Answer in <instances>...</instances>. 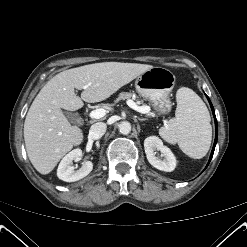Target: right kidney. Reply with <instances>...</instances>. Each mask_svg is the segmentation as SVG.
Returning <instances> with one entry per match:
<instances>
[{
    "instance_id": "ca27d5eb",
    "label": "right kidney",
    "mask_w": 247,
    "mask_h": 247,
    "mask_svg": "<svg viewBox=\"0 0 247 247\" xmlns=\"http://www.w3.org/2000/svg\"><path fill=\"white\" fill-rule=\"evenodd\" d=\"M81 156L82 150L79 148L69 152L58 166V178L65 182H75L87 176L93 169V163L91 161H86L78 170H75L74 166H71L73 160H78Z\"/></svg>"
}]
</instances>
